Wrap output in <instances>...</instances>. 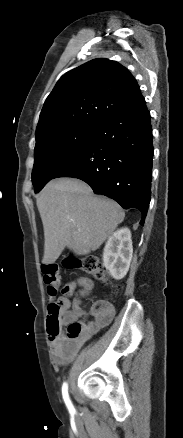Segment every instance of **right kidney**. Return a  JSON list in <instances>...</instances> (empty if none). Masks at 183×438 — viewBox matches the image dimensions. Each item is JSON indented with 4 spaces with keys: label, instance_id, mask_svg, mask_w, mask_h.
I'll use <instances>...</instances> for the list:
<instances>
[{
    "label": "right kidney",
    "instance_id": "right-kidney-1",
    "mask_svg": "<svg viewBox=\"0 0 183 438\" xmlns=\"http://www.w3.org/2000/svg\"><path fill=\"white\" fill-rule=\"evenodd\" d=\"M132 254L131 231L128 228L118 229L106 242L103 265L114 279H122L129 270Z\"/></svg>",
    "mask_w": 183,
    "mask_h": 438
}]
</instances>
